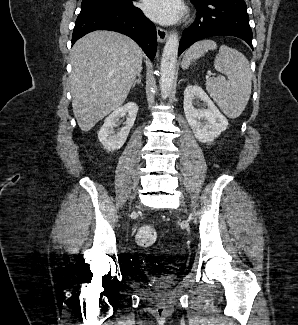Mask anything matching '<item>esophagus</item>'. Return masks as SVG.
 Segmentation results:
<instances>
[{"mask_svg":"<svg viewBox=\"0 0 298 325\" xmlns=\"http://www.w3.org/2000/svg\"><path fill=\"white\" fill-rule=\"evenodd\" d=\"M156 31H157V39H158V41L159 42H164L165 40H166V38H167V31L166 30H164L163 28H160V27H157V29H156Z\"/></svg>","mask_w":298,"mask_h":325,"instance_id":"obj_1","label":"esophagus"}]
</instances>
